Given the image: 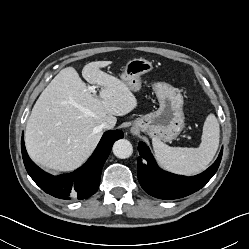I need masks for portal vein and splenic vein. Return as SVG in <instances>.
Here are the masks:
<instances>
[{"mask_svg":"<svg viewBox=\"0 0 249 249\" xmlns=\"http://www.w3.org/2000/svg\"><path fill=\"white\" fill-rule=\"evenodd\" d=\"M95 88H96L95 86H91L89 87V90L95 94L96 93Z\"/></svg>","mask_w":249,"mask_h":249,"instance_id":"portal-vein-and-splenic-vein-1","label":"portal vein and splenic vein"}]
</instances>
